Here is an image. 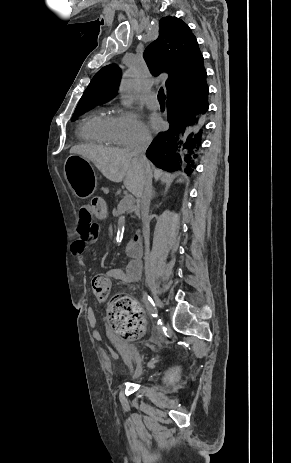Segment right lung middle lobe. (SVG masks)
Instances as JSON below:
<instances>
[{
  "mask_svg": "<svg viewBox=\"0 0 291 463\" xmlns=\"http://www.w3.org/2000/svg\"><path fill=\"white\" fill-rule=\"evenodd\" d=\"M93 106L94 105H92V104H83V105L77 106L76 109H75V112L73 114L72 120L74 118L78 117L81 113H83L84 111L90 109Z\"/></svg>",
  "mask_w": 291,
  "mask_h": 463,
  "instance_id": "dd1d6c3e",
  "label": "right lung middle lobe"
}]
</instances>
